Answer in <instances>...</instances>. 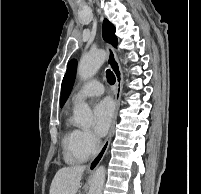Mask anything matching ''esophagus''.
I'll use <instances>...</instances> for the list:
<instances>
[{
  "label": "esophagus",
  "mask_w": 201,
  "mask_h": 194,
  "mask_svg": "<svg viewBox=\"0 0 201 194\" xmlns=\"http://www.w3.org/2000/svg\"><path fill=\"white\" fill-rule=\"evenodd\" d=\"M106 51H107V64L110 67V69L113 71L116 83H115V89H114V95H115V113L113 116L112 124L110 127L109 134L107 138L105 139L100 151L97 153V155L90 161L88 164V170H94L98 167V165L103 160L108 147L110 145L111 138L113 136L116 120H117V114L120 107V99H121V93L123 88V74L121 70V66L118 62L117 55L113 47L109 44H106Z\"/></svg>",
  "instance_id": "obj_1"
}]
</instances>
